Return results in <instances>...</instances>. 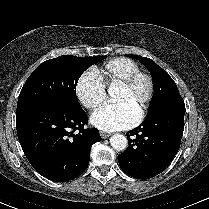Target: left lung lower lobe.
<instances>
[{
    "label": "left lung lower lobe",
    "instance_id": "obj_1",
    "mask_svg": "<svg viewBox=\"0 0 209 209\" xmlns=\"http://www.w3.org/2000/svg\"><path fill=\"white\" fill-rule=\"evenodd\" d=\"M185 106L163 108L126 133L129 147L118 155L121 169L137 179H149L165 170L179 150Z\"/></svg>",
    "mask_w": 209,
    "mask_h": 209
}]
</instances>
